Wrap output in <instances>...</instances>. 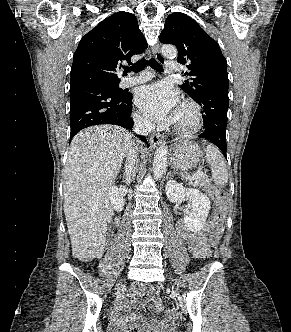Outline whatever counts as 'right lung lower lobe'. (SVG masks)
Segmentation results:
<instances>
[{
  "instance_id": "98d812e1",
  "label": "right lung lower lobe",
  "mask_w": 291,
  "mask_h": 332,
  "mask_svg": "<svg viewBox=\"0 0 291 332\" xmlns=\"http://www.w3.org/2000/svg\"><path fill=\"white\" fill-rule=\"evenodd\" d=\"M132 94H117L104 83H94L70 90V140L80 130L99 124H113L132 129L130 118ZM140 139L146 142L145 136Z\"/></svg>"
}]
</instances>
